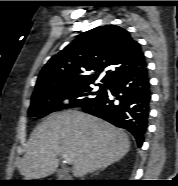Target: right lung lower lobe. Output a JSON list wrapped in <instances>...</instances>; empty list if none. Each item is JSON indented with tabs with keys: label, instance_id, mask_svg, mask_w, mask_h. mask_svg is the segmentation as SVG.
Here are the masks:
<instances>
[{
	"label": "right lung lower lobe",
	"instance_id": "right-lung-lower-lobe-1",
	"mask_svg": "<svg viewBox=\"0 0 178 186\" xmlns=\"http://www.w3.org/2000/svg\"><path fill=\"white\" fill-rule=\"evenodd\" d=\"M107 91L95 101L82 106L83 111L128 130L142 146L150 112V83L147 64L126 70L112 79Z\"/></svg>",
	"mask_w": 178,
	"mask_h": 186
}]
</instances>
